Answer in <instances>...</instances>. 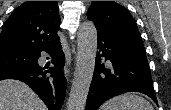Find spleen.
Returning a JSON list of instances; mask_svg holds the SVG:
<instances>
[{
    "mask_svg": "<svg viewBox=\"0 0 171 110\" xmlns=\"http://www.w3.org/2000/svg\"><path fill=\"white\" fill-rule=\"evenodd\" d=\"M100 110H154L145 98L138 94L127 93L105 102Z\"/></svg>",
    "mask_w": 171,
    "mask_h": 110,
    "instance_id": "spleen-1",
    "label": "spleen"
}]
</instances>
